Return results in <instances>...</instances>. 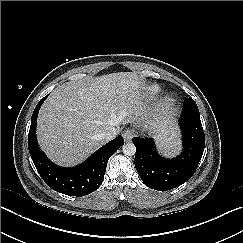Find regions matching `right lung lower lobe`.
Segmentation results:
<instances>
[{
	"mask_svg": "<svg viewBox=\"0 0 243 243\" xmlns=\"http://www.w3.org/2000/svg\"><path fill=\"white\" fill-rule=\"evenodd\" d=\"M47 96L39 101L31 118L28 135L31 158L42 179L53 190L71 196L88 195L101 185L107 162L112 154L124 144L123 137L118 136L108 142L77 167L63 168L53 164L40 150L36 139L37 116Z\"/></svg>",
	"mask_w": 243,
	"mask_h": 243,
	"instance_id": "1",
	"label": "right lung lower lobe"
}]
</instances>
